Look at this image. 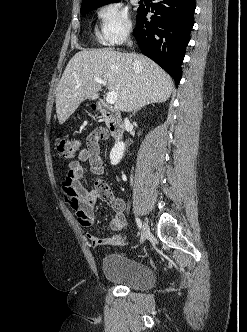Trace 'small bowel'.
<instances>
[{
  "label": "small bowel",
  "instance_id": "obj_1",
  "mask_svg": "<svg viewBox=\"0 0 247 332\" xmlns=\"http://www.w3.org/2000/svg\"><path fill=\"white\" fill-rule=\"evenodd\" d=\"M107 137L108 134L104 128L95 129L88 136L86 147L80 149L76 159L69 162L68 172L63 181L67 200L73 204L77 220L81 226L91 227L98 198L106 202L114 211L110 226L117 234L111 237H98L92 233H87L86 238L92 247L124 244L126 240L124 234L127 225L126 203L123 199L116 197L110 186L101 179L105 168L100 156L99 142L107 139ZM83 162H89L91 173L97 176L93 188H88L84 184Z\"/></svg>",
  "mask_w": 247,
  "mask_h": 332
}]
</instances>
